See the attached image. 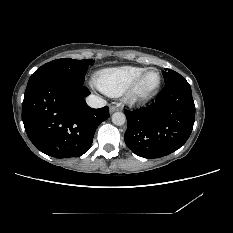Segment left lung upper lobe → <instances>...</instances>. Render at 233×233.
<instances>
[{"instance_id":"obj_1","label":"left lung upper lobe","mask_w":233,"mask_h":233,"mask_svg":"<svg viewBox=\"0 0 233 233\" xmlns=\"http://www.w3.org/2000/svg\"><path fill=\"white\" fill-rule=\"evenodd\" d=\"M166 71H163V77L165 80V83L172 81L173 79H175L176 77L181 76L180 74H178L177 72L171 70V69H165Z\"/></svg>"}]
</instances>
